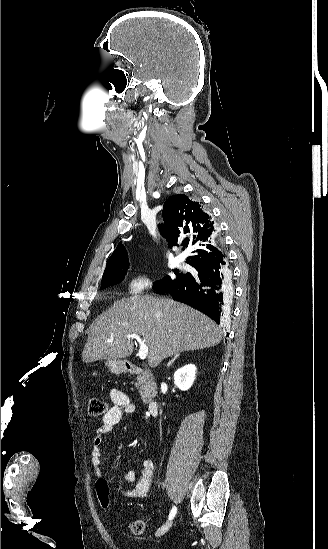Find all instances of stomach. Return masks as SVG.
Segmentation results:
<instances>
[{
	"label": "stomach",
	"instance_id": "1",
	"mask_svg": "<svg viewBox=\"0 0 328 549\" xmlns=\"http://www.w3.org/2000/svg\"><path fill=\"white\" fill-rule=\"evenodd\" d=\"M105 365L113 375H121V373H129L132 369L131 363L129 361H121V359H106Z\"/></svg>",
	"mask_w": 328,
	"mask_h": 549
}]
</instances>
